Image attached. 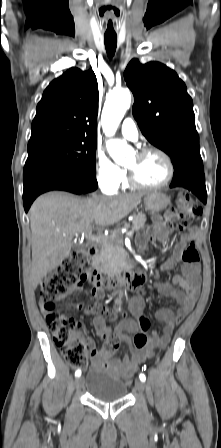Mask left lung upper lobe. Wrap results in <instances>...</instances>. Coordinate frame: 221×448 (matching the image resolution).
Here are the masks:
<instances>
[{
  "instance_id": "left-lung-upper-lobe-1",
  "label": "left lung upper lobe",
  "mask_w": 221,
  "mask_h": 448,
  "mask_svg": "<svg viewBox=\"0 0 221 448\" xmlns=\"http://www.w3.org/2000/svg\"><path fill=\"white\" fill-rule=\"evenodd\" d=\"M124 78L134 95L133 117L147 140L167 153L174 169L201 159L193 102L175 71L133 59Z\"/></svg>"
}]
</instances>
